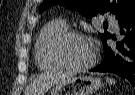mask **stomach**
I'll return each mask as SVG.
<instances>
[{"label": "stomach", "mask_w": 135, "mask_h": 95, "mask_svg": "<svg viewBox=\"0 0 135 95\" xmlns=\"http://www.w3.org/2000/svg\"><path fill=\"white\" fill-rule=\"evenodd\" d=\"M102 86L100 78L93 76H72L50 91V95H92Z\"/></svg>", "instance_id": "obj_1"}]
</instances>
